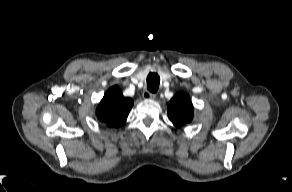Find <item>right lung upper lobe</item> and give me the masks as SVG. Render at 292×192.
Returning <instances> with one entry per match:
<instances>
[{
  "label": "right lung upper lobe",
  "instance_id": "obj_1",
  "mask_svg": "<svg viewBox=\"0 0 292 192\" xmlns=\"http://www.w3.org/2000/svg\"><path fill=\"white\" fill-rule=\"evenodd\" d=\"M133 100L122 95L118 86L110 88L97 107V118L109 127H120L128 117Z\"/></svg>",
  "mask_w": 292,
  "mask_h": 192
}]
</instances>
